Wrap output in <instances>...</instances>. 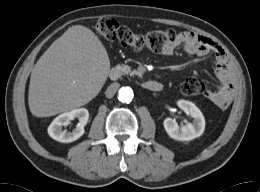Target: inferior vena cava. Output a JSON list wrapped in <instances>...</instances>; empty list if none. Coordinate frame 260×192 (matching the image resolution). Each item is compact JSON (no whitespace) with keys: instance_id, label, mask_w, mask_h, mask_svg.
<instances>
[{"instance_id":"inferior-vena-cava-1","label":"inferior vena cava","mask_w":260,"mask_h":192,"mask_svg":"<svg viewBox=\"0 0 260 192\" xmlns=\"http://www.w3.org/2000/svg\"><path fill=\"white\" fill-rule=\"evenodd\" d=\"M119 86H120L119 83H113V84H111V85L107 88V90H106V92H105L106 97H107V98H112V97L115 95L116 91L118 90Z\"/></svg>"}]
</instances>
